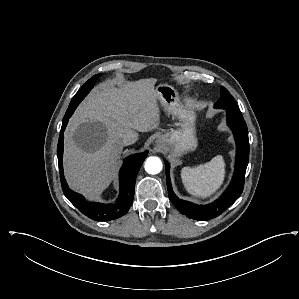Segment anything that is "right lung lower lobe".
Masks as SVG:
<instances>
[{
    "label": "right lung lower lobe",
    "mask_w": 299,
    "mask_h": 299,
    "mask_svg": "<svg viewBox=\"0 0 299 299\" xmlns=\"http://www.w3.org/2000/svg\"><path fill=\"white\" fill-rule=\"evenodd\" d=\"M77 106L78 105H73L72 107H68L62 121V127L57 146V156L61 173L60 177L62 190L67 199L87 217L96 221H111L125 215L128 212L134 198L135 180L142 163L147 157L148 151L131 155L125 159L119 173L120 194L117 199L116 205L87 202L82 195L75 193L68 188V185L64 178L62 167L64 140L63 132L66 128L69 118L71 117Z\"/></svg>",
    "instance_id": "98d812e1"
}]
</instances>
